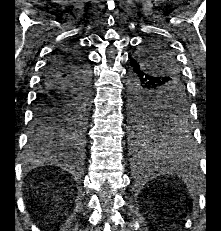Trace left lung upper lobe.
Returning <instances> with one entry per match:
<instances>
[{
  "instance_id": "5c2ea615",
  "label": "left lung upper lobe",
  "mask_w": 221,
  "mask_h": 231,
  "mask_svg": "<svg viewBox=\"0 0 221 231\" xmlns=\"http://www.w3.org/2000/svg\"><path fill=\"white\" fill-rule=\"evenodd\" d=\"M137 59L150 74L161 79V90L147 96V108L136 116L130 115L134 136L143 141L154 131L186 123L188 102L175 55L166 42L149 39Z\"/></svg>"
}]
</instances>
